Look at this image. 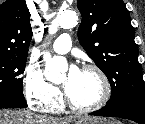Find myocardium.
<instances>
[{
	"label": "myocardium",
	"instance_id": "obj_1",
	"mask_svg": "<svg viewBox=\"0 0 145 124\" xmlns=\"http://www.w3.org/2000/svg\"><path fill=\"white\" fill-rule=\"evenodd\" d=\"M81 71L93 72L99 77V79L101 81V85H102V94H101L100 99L92 105L78 106L71 101V99L68 97L67 93L65 92L64 93V102H65L66 106L75 113H78V114L93 113V112L100 110L108 103V101L111 97V84H110L109 78L106 75V73L97 65L86 64V65L82 66Z\"/></svg>",
	"mask_w": 145,
	"mask_h": 124
}]
</instances>
